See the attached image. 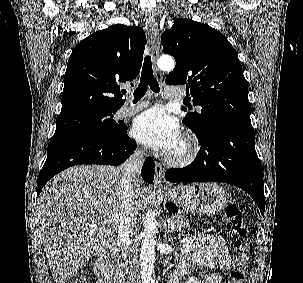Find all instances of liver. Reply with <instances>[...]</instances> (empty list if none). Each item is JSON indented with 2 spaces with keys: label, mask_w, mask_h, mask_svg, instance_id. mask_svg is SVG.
<instances>
[{
  "label": "liver",
  "mask_w": 303,
  "mask_h": 283,
  "mask_svg": "<svg viewBox=\"0 0 303 283\" xmlns=\"http://www.w3.org/2000/svg\"><path fill=\"white\" fill-rule=\"evenodd\" d=\"M122 175L121 167L79 165L43 188L37 214L55 283H67L91 256L114 246L122 213ZM133 185L135 219L148 187L140 177Z\"/></svg>",
  "instance_id": "6515ba94"
}]
</instances>
